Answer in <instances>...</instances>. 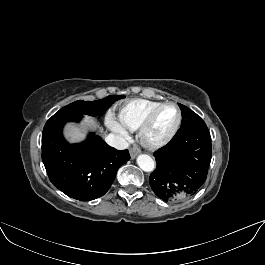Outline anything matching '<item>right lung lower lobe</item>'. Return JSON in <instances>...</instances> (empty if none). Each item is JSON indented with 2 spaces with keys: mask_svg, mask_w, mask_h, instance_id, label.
<instances>
[{
  "mask_svg": "<svg viewBox=\"0 0 265 265\" xmlns=\"http://www.w3.org/2000/svg\"><path fill=\"white\" fill-rule=\"evenodd\" d=\"M81 118L82 115H53L46 122L42 132V160L55 187L71 198L89 201L108 191L118 168L130 155L128 150L110 147L93 133L81 144L67 143L63 126Z\"/></svg>",
  "mask_w": 265,
  "mask_h": 265,
  "instance_id": "98d812e1",
  "label": "right lung lower lobe"
}]
</instances>
